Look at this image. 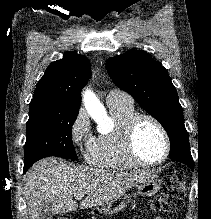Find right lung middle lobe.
Masks as SVG:
<instances>
[{
	"label": "right lung middle lobe",
	"instance_id": "obj_1",
	"mask_svg": "<svg viewBox=\"0 0 211 219\" xmlns=\"http://www.w3.org/2000/svg\"><path fill=\"white\" fill-rule=\"evenodd\" d=\"M77 110L61 111L48 104H30L24 165L48 156L78 159L72 143Z\"/></svg>",
	"mask_w": 211,
	"mask_h": 219
}]
</instances>
